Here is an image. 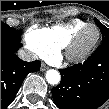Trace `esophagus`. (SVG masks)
I'll list each match as a JSON object with an SVG mask.
<instances>
[{"mask_svg":"<svg viewBox=\"0 0 109 109\" xmlns=\"http://www.w3.org/2000/svg\"><path fill=\"white\" fill-rule=\"evenodd\" d=\"M48 68L49 67L46 64L42 63L40 70L43 72V71H46Z\"/></svg>","mask_w":109,"mask_h":109,"instance_id":"esophagus-1","label":"esophagus"}]
</instances>
